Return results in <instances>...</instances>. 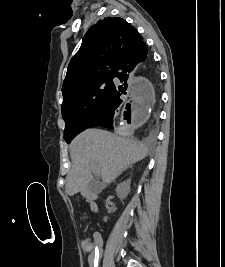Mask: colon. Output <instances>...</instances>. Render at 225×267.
Returning <instances> with one entry per match:
<instances>
[{
  "label": "colon",
  "mask_w": 225,
  "mask_h": 267,
  "mask_svg": "<svg viewBox=\"0 0 225 267\" xmlns=\"http://www.w3.org/2000/svg\"><path fill=\"white\" fill-rule=\"evenodd\" d=\"M81 245L85 251H91L94 247L92 240L88 237L82 240Z\"/></svg>",
  "instance_id": "5ec220e1"
}]
</instances>
